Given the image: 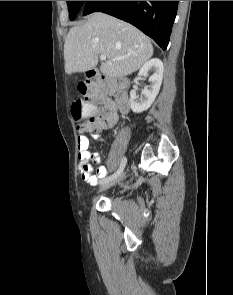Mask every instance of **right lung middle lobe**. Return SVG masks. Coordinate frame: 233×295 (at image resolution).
I'll use <instances>...</instances> for the list:
<instances>
[{
    "label": "right lung middle lobe",
    "instance_id": "1",
    "mask_svg": "<svg viewBox=\"0 0 233 295\" xmlns=\"http://www.w3.org/2000/svg\"><path fill=\"white\" fill-rule=\"evenodd\" d=\"M86 1H67L70 20H74Z\"/></svg>",
    "mask_w": 233,
    "mask_h": 295
}]
</instances>
